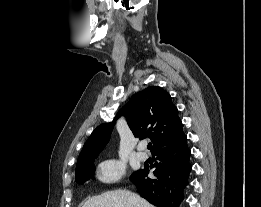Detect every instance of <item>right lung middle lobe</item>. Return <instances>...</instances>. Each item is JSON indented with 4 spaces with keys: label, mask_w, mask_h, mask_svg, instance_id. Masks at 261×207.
I'll return each mask as SVG.
<instances>
[{
    "label": "right lung middle lobe",
    "mask_w": 261,
    "mask_h": 207,
    "mask_svg": "<svg viewBox=\"0 0 261 207\" xmlns=\"http://www.w3.org/2000/svg\"><path fill=\"white\" fill-rule=\"evenodd\" d=\"M95 158L96 157L87 159L83 163L76 166L75 180L77 183L83 184L90 178H93L95 171L93 161L95 160Z\"/></svg>",
    "instance_id": "obj_1"
}]
</instances>
